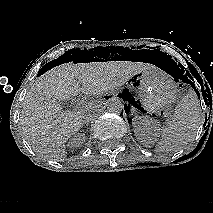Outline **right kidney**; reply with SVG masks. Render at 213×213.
<instances>
[{
    "label": "right kidney",
    "instance_id": "obj_1",
    "mask_svg": "<svg viewBox=\"0 0 213 213\" xmlns=\"http://www.w3.org/2000/svg\"><path fill=\"white\" fill-rule=\"evenodd\" d=\"M85 141V136L84 134H76L72 139H70L68 146L71 148H80Z\"/></svg>",
    "mask_w": 213,
    "mask_h": 213
}]
</instances>
